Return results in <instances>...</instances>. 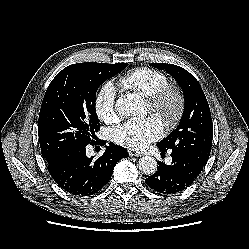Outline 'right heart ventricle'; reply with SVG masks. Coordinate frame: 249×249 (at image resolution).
Masks as SVG:
<instances>
[{"label": "right heart ventricle", "instance_id": "e07e8e85", "mask_svg": "<svg viewBox=\"0 0 249 249\" xmlns=\"http://www.w3.org/2000/svg\"><path fill=\"white\" fill-rule=\"evenodd\" d=\"M167 82L168 78L163 72L149 67L136 68L118 80L121 88L139 93L144 97L153 94Z\"/></svg>", "mask_w": 249, "mask_h": 249}]
</instances>
